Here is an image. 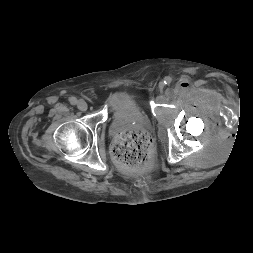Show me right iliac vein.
Returning <instances> with one entry per match:
<instances>
[{"label":"right iliac vein","instance_id":"obj_1","mask_svg":"<svg viewBox=\"0 0 253 253\" xmlns=\"http://www.w3.org/2000/svg\"><path fill=\"white\" fill-rule=\"evenodd\" d=\"M77 106H78V109L81 111H86L88 108L87 103L84 100H79Z\"/></svg>","mask_w":253,"mask_h":253}]
</instances>
